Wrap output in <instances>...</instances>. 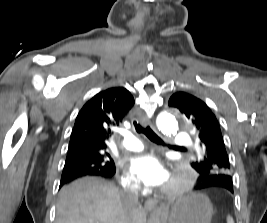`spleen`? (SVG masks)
I'll return each instance as SVG.
<instances>
[{"label":"spleen","mask_w":267,"mask_h":223,"mask_svg":"<svg viewBox=\"0 0 267 223\" xmlns=\"http://www.w3.org/2000/svg\"><path fill=\"white\" fill-rule=\"evenodd\" d=\"M227 223H234L233 218L231 216H227Z\"/></svg>","instance_id":"obj_1"}]
</instances>
